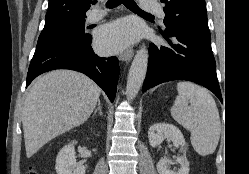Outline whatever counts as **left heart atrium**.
<instances>
[{"label": "left heart atrium", "mask_w": 249, "mask_h": 174, "mask_svg": "<svg viewBox=\"0 0 249 174\" xmlns=\"http://www.w3.org/2000/svg\"><path fill=\"white\" fill-rule=\"evenodd\" d=\"M141 36V28L131 18L120 19L105 26L97 35V46L104 53H116Z\"/></svg>", "instance_id": "39dd6f15"}]
</instances>
